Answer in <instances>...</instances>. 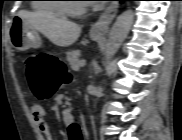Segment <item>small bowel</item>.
Returning <instances> with one entry per match:
<instances>
[{
    "label": "small bowel",
    "instance_id": "small-bowel-1",
    "mask_svg": "<svg viewBox=\"0 0 182 140\" xmlns=\"http://www.w3.org/2000/svg\"><path fill=\"white\" fill-rule=\"evenodd\" d=\"M31 113L34 118V121L43 134L45 140H54L53 135L51 133L50 126L46 121V112L42 105L35 104L31 107ZM71 118H66L67 122H70Z\"/></svg>",
    "mask_w": 182,
    "mask_h": 140
}]
</instances>
